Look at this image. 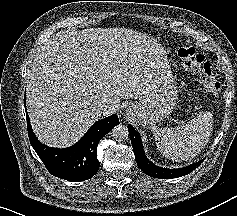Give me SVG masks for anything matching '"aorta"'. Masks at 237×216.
Wrapping results in <instances>:
<instances>
[{
    "label": "aorta",
    "mask_w": 237,
    "mask_h": 216,
    "mask_svg": "<svg viewBox=\"0 0 237 216\" xmlns=\"http://www.w3.org/2000/svg\"><path fill=\"white\" fill-rule=\"evenodd\" d=\"M111 136L114 140L118 142H123L127 140L129 136L128 128L125 125H117L112 129Z\"/></svg>",
    "instance_id": "762f6f07"
}]
</instances>
